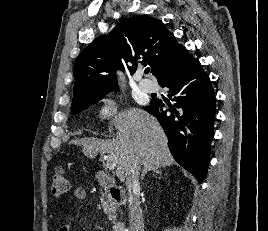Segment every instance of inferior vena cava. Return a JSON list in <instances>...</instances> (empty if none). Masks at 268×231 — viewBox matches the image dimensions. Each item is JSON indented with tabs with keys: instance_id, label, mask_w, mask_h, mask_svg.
<instances>
[{
	"instance_id": "inferior-vena-cava-1",
	"label": "inferior vena cava",
	"mask_w": 268,
	"mask_h": 231,
	"mask_svg": "<svg viewBox=\"0 0 268 231\" xmlns=\"http://www.w3.org/2000/svg\"><path fill=\"white\" fill-rule=\"evenodd\" d=\"M141 162L133 159L126 171L125 183L128 191L129 227L130 231H144V221L140 206L139 175Z\"/></svg>"
}]
</instances>
